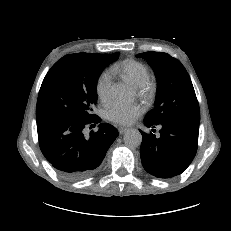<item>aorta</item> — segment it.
I'll return each mask as SVG.
<instances>
[{
    "mask_svg": "<svg viewBox=\"0 0 231 231\" xmlns=\"http://www.w3.org/2000/svg\"><path fill=\"white\" fill-rule=\"evenodd\" d=\"M112 95L120 101H128L130 98L129 89L122 84L114 85L111 89ZM124 143L130 148L140 146L142 142V135L137 129H128L124 134Z\"/></svg>",
    "mask_w": 231,
    "mask_h": 231,
    "instance_id": "aorta-1",
    "label": "aorta"
}]
</instances>
